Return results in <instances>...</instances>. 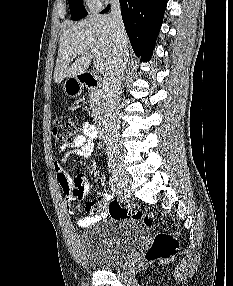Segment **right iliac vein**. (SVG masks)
<instances>
[{
	"mask_svg": "<svg viewBox=\"0 0 233 286\" xmlns=\"http://www.w3.org/2000/svg\"><path fill=\"white\" fill-rule=\"evenodd\" d=\"M109 166L111 168V172L114 178L117 180V183L119 184L122 196L125 198L130 197L131 190L129 185L130 183L129 176L124 172V170L121 168V166L116 160H111L109 162Z\"/></svg>",
	"mask_w": 233,
	"mask_h": 286,
	"instance_id": "obj_1",
	"label": "right iliac vein"
}]
</instances>
